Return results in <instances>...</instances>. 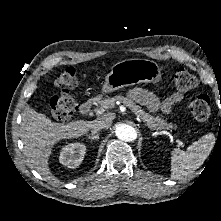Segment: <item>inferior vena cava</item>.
Wrapping results in <instances>:
<instances>
[{"label": "inferior vena cava", "mask_w": 221, "mask_h": 221, "mask_svg": "<svg viewBox=\"0 0 221 221\" xmlns=\"http://www.w3.org/2000/svg\"><path fill=\"white\" fill-rule=\"evenodd\" d=\"M105 127H106V125L104 122H98V123L94 124L91 128L92 135H95L96 133H98L100 130H102Z\"/></svg>", "instance_id": "inferior-vena-cava-1"}]
</instances>
